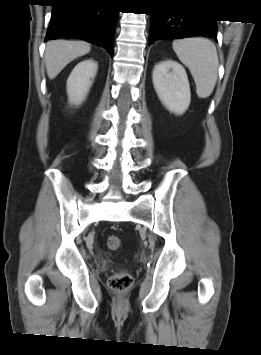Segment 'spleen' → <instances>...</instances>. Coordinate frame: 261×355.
<instances>
[{"label":"spleen","instance_id":"3e777b00","mask_svg":"<svg viewBox=\"0 0 261 355\" xmlns=\"http://www.w3.org/2000/svg\"><path fill=\"white\" fill-rule=\"evenodd\" d=\"M173 50L179 60L189 68L199 98L209 97L218 77V55L215 45L208 39L186 38L173 41Z\"/></svg>","mask_w":261,"mask_h":355}]
</instances>
